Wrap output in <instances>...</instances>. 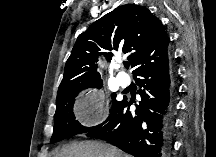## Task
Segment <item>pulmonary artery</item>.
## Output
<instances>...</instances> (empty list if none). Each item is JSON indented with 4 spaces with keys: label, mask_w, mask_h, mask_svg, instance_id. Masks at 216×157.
Masks as SVG:
<instances>
[{
    "label": "pulmonary artery",
    "mask_w": 216,
    "mask_h": 157,
    "mask_svg": "<svg viewBox=\"0 0 216 157\" xmlns=\"http://www.w3.org/2000/svg\"><path fill=\"white\" fill-rule=\"evenodd\" d=\"M119 85L122 87H127L130 84V78L127 74L120 72L116 76Z\"/></svg>",
    "instance_id": "pulmonary-artery-1"
}]
</instances>
